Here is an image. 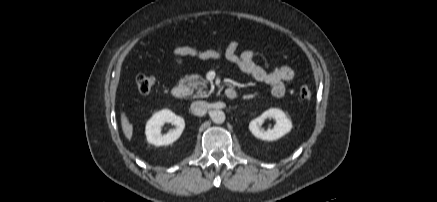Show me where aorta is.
Wrapping results in <instances>:
<instances>
[{
	"label": "aorta",
	"instance_id": "obj_1",
	"mask_svg": "<svg viewBox=\"0 0 437 202\" xmlns=\"http://www.w3.org/2000/svg\"><path fill=\"white\" fill-rule=\"evenodd\" d=\"M211 120L216 124H222L225 121V113L221 110H214L210 113Z\"/></svg>",
	"mask_w": 437,
	"mask_h": 202
}]
</instances>
